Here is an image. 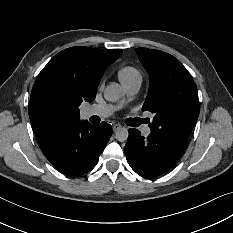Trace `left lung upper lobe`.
Wrapping results in <instances>:
<instances>
[{"instance_id": "1", "label": "left lung upper lobe", "mask_w": 233, "mask_h": 233, "mask_svg": "<svg viewBox=\"0 0 233 233\" xmlns=\"http://www.w3.org/2000/svg\"><path fill=\"white\" fill-rule=\"evenodd\" d=\"M150 77L143 111L155 113L152 133L187 140L199 116L197 87L190 73L172 55L147 48L135 49Z\"/></svg>"}]
</instances>
